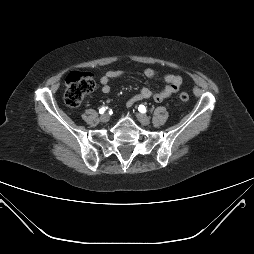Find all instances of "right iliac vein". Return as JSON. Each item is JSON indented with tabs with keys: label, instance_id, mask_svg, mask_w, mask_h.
<instances>
[{
	"label": "right iliac vein",
	"instance_id": "63e3f726",
	"mask_svg": "<svg viewBox=\"0 0 254 254\" xmlns=\"http://www.w3.org/2000/svg\"><path fill=\"white\" fill-rule=\"evenodd\" d=\"M109 119H110V116H109V114H107V113L101 115V117H100V120H101V122H103V123L108 122Z\"/></svg>",
	"mask_w": 254,
	"mask_h": 254
}]
</instances>
